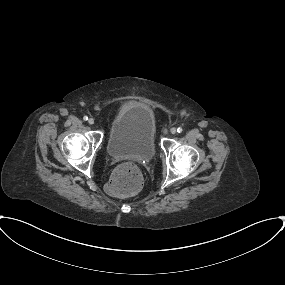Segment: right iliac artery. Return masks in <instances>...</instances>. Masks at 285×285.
<instances>
[{
    "label": "right iliac artery",
    "mask_w": 285,
    "mask_h": 285,
    "mask_svg": "<svg viewBox=\"0 0 285 285\" xmlns=\"http://www.w3.org/2000/svg\"><path fill=\"white\" fill-rule=\"evenodd\" d=\"M83 119H84L85 121H87V120H88V116H84Z\"/></svg>",
    "instance_id": "right-iliac-artery-1"
}]
</instances>
